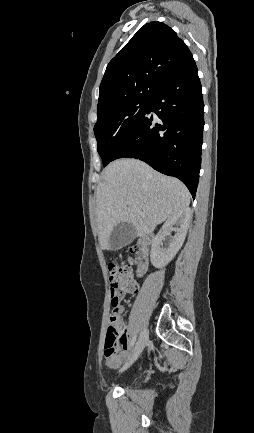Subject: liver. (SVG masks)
Returning a JSON list of instances; mask_svg holds the SVG:
<instances>
[{"label":"liver","instance_id":"liver-1","mask_svg":"<svg viewBox=\"0 0 254 433\" xmlns=\"http://www.w3.org/2000/svg\"><path fill=\"white\" fill-rule=\"evenodd\" d=\"M189 204L190 193L178 179L162 175L140 160H115L105 168L97 187L100 246L111 249L109 238L120 222L131 223L136 235L144 236ZM136 208L140 213L134 211Z\"/></svg>","mask_w":254,"mask_h":433}]
</instances>
